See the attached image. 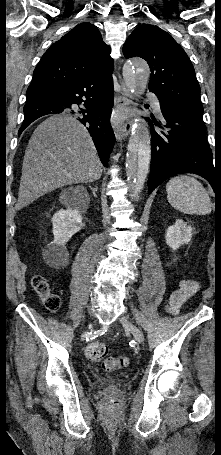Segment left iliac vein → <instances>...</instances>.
Masks as SVG:
<instances>
[{"label": "left iliac vein", "instance_id": "1", "mask_svg": "<svg viewBox=\"0 0 221 455\" xmlns=\"http://www.w3.org/2000/svg\"><path fill=\"white\" fill-rule=\"evenodd\" d=\"M120 321L123 327L133 335L136 341H138L139 343H142L144 341L142 332L132 322H130L124 316L121 317Z\"/></svg>", "mask_w": 221, "mask_h": 455}]
</instances>
